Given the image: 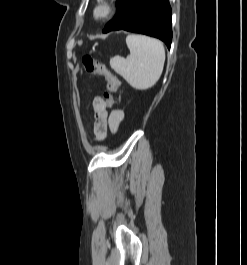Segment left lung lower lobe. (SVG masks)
<instances>
[{"label": "left lung lower lobe", "mask_w": 247, "mask_h": 265, "mask_svg": "<svg viewBox=\"0 0 247 265\" xmlns=\"http://www.w3.org/2000/svg\"><path fill=\"white\" fill-rule=\"evenodd\" d=\"M117 14L103 33L127 30L159 38L170 48L171 8L168 0H117Z\"/></svg>", "instance_id": "left-lung-lower-lobe-1"}]
</instances>
